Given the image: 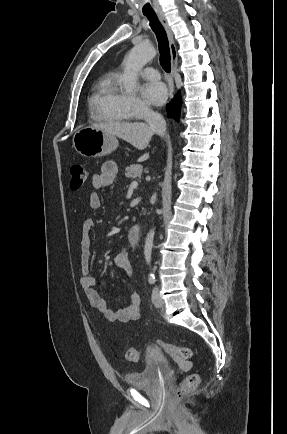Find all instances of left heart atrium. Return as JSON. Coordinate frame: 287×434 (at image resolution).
Wrapping results in <instances>:
<instances>
[{
    "instance_id": "left-heart-atrium-1",
    "label": "left heart atrium",
    "mask_w": 287,
    "mask_h": 434,
    "mask_svg": "<svg viewBox=\"0 0 287 434\" xmlns=\"http://www.w3.org/2000/svg\"><path fill=\"white\" fill-rule=\"evenodd\" d=\"M143 97L151 104L159 106L167 99V88L161 82L145 84L141 89Z\"/></svg>"
}]
</instances>
